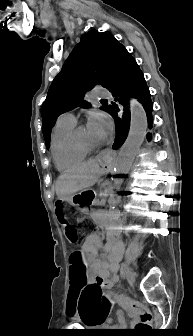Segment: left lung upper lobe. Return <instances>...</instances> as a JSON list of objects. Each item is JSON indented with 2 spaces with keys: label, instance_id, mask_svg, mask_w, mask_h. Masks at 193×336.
Listing matches in <instances>:
<instances>
[{
  "label": "left lung upper lobe",
  "instance_id": "left-lung-upper-lobe-1",
  "mask_svg": "<svg viewBox=\"0 0 193 336\" xmlns=\"http://www.w3.org/2000/svg\"><path fill=\"white\" fill-rule=\"evenodd\" d=\"M123 49L125 47L106 32L92 30L81 38L53 80L42 105L43 135L47 148L51 129L59 115L77 106L89 107L84 97L95 85L109 87ZM93 69L102 71L103 75H88ZM100 109L109 111L110 106Z\"/></svg>",
  "mask_w": 193,
  "mask_h": 336
}]
</instances>
